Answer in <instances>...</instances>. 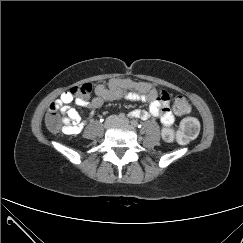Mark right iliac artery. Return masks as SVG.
<instances>
[{
	"instance_id": "obj_1",
	"label": "right iliac artery",
	"mask_w": 243,
	"mask_h": 243,
	"mask_svg": "<svg viewBox=\"0 0 243 243\" xmlns=\"http://www.w3.org/2000/svg\"><path fill=\"white\" fill-rule=\"evenodd\" d=\"M118 119H125V114L124 113H120L118 115Z\"/></svg>"
}]
</instances>
